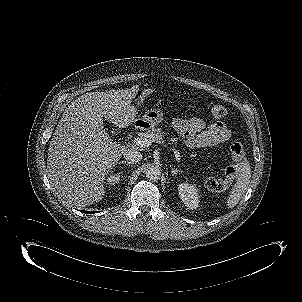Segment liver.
Returning <instances> with one entry per match:
<instances>
[{
	"label": "liver",
	"instance_id": "6515ba94",
	"mask_svg": "<svg viewBox=\"0 0 302 302\" xmlns=\"http://www.w3.org/2000/svg\"><path fill=\"white\" fill-rule=\"evenodd\" d=\"M132 89L89 92L63 112L48 149L47 167L54 187L69 203L87 206L102 200L105 176L126 146L113 142L104 118L119 128L135 121Z\"/></svg>",
	"mask_w": 302,
	"mask_h": 302
}]
</instances>
